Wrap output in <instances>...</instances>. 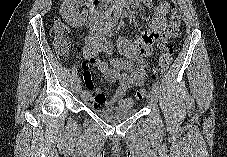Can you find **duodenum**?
<instances>
[{
	"label": "duodenum",
	"mask_w": 227,
	"mask_h": 157,
	"mask_svg": "<svg viewBox=\"0 0 227 157\" xmlns=\"http://www.w3.org/2000/svg\"><path fill=\"white\" fill-rule=\"evenodd\" d=\"M132 1H134L133 3H135V0H132ZM91 5H92L93 10L96 12L98 10V8L100 7V2H99V0H91ZM113 22L114 23H122L123 22V16L122 15H115L114 18H113ZM104 30H105V28L102 27L101 25L95 24L93 26V32L102 33Z\"/></svg>",
	"instance_id": "obj_1"
}]
</instances>
